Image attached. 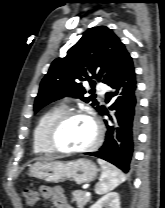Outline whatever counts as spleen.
<instances>
[{"instance_id": "1", "label": "spleen", "mask_w": 165, "mask_h": 208, "mask_svg": "<svg viewBox=\"0 0 165 208\" xmlns=\"http://www.w3.org/2000/svg\"><path fill=\"white\" fill-rule=\"evenodd\" d=\"M98 163L102 168L100 180L95 188V192L98 195L105 194L115 189L118 185L125 181L126 178L124 174L114 165L102 159H98Z\"/></svg>"}]
</instances>
